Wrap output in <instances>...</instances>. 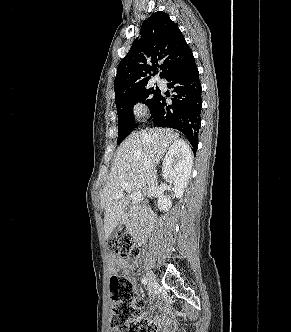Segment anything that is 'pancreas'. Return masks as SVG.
<instances>
[{"mask_svg": "<svg viewBox=\"0 0 291 332\" xmlns=\"http://www.w3.org/2000/svg\"><path fill=\"white\" fill-rule=\"evenodd\" d=\"M139 216L137 214H131L130 218L126 222V228L129 232H134L138 227Z\"/></svg>", "mask_w": 291, "mask_h": 332, "instance_id": "pancreas-1", "label": "pancreas"}]
</instances>
